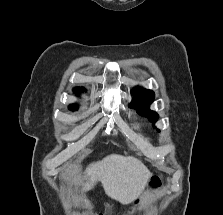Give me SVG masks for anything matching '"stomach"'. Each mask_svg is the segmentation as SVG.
Listing matches in <instances>:
<instances>
[{
    "label": "stomach",
    "instance_id": "0dacf381",
    "mask_svg": "<svg viewBox=\"0 0 223 215\" xmlns=\"http://www.w3.org/2000/svg\"><path fill=\"white\" fill-rule=\"evenodd\" d=\"M151 179H153V177H151ZM152 189H155V187H148V189H146V190L152 191Z\"/></svg>",
    "mask_w": 223,
    "mask_h": 215
}]
</instances>
